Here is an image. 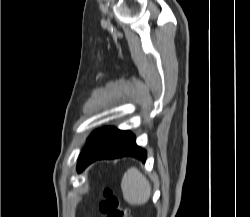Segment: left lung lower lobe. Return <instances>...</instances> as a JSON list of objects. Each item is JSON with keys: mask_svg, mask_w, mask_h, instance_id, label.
<instances>
[{"mask_svg": "<svg viewBox=\"0 0 250 217\" xmlns=\"http://www.w3.org/2000/svg\"><path fill=\"white\" fill-rule=\"evenodd\" d=\"M131 156L145 162L146 151L136 145L135 136L129 131L106 127L98 130L81 152L77 170L81 172L99 159H114Z\"/></svg>", "mask_w": 250, "mask_h": 217, "instance_id": "left-lung-lower-lobe-1", "label": "left lung lower lobe"}]
</instances>
